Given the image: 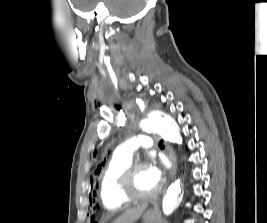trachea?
Segmentation results:
<instances>
[{
  "mask_svg": "<svg viewBox=\"0 0 267 223\" xmlns=\"http://www.w3.org/2000/svg\"><path fill=\"white\" fill-rule=\"evenodd\" d=\"M159 146H160V147H163V146H164V144H163V140H160V141H159Z\"/></svg>",
  "mask_w": 267,
  "mask_h": 223,
  "instance_id": "obj_1",
  "label": "trachea"
}]
</instances>
